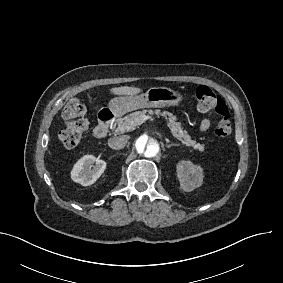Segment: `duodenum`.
<instances>
[{
    "label": "duodenum",
    "instance_id": "410a0bca",
    "mask_svg": "<svg viewBox=\"0 0 283 283\" xmlns=\"http://www.w3.org/2000/svg\"><path fill=\"white\" fill-rule=\"evenodd\" d=\"M114 114L110 111H105L99 116V122L94 129V136L98 139L105 138L113 124Z\"/></svg>",
    "mask_w": 283,
    "mask_h": 283
}]
</instances>
